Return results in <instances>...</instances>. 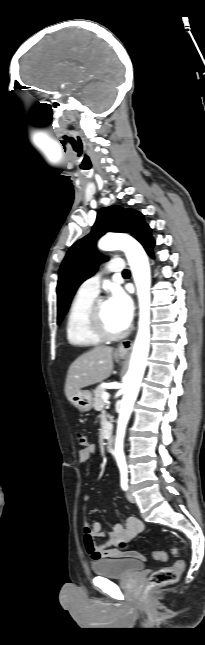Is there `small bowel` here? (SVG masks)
<instances>
[{"label":"small bowel","mask_w":205,"mask_h":645,"mask_svg":"<svg viewBox=\"0 0 205 645\" xmlns=\"http://www.w3.org/2000/svg\"><path fill=\"white\" fill-rule=\"evenodd\" d=\"M96 452L94 445L81 449L78 452V460L83 463L88 461ZM85 503L90 504L96 500L86 495ZM144 530V524L136 517H129L125 524L116 523L111 532L102 531V524L96 520L92 525H85L83 528V539L86 550L93 561L116 558H135L142 560L143 557L136 551L124 552L120 548V543H128ZM98 538L105 539V542L98 544Z\"/></svg>","instance_id":"obj_1"}]
</instances>
